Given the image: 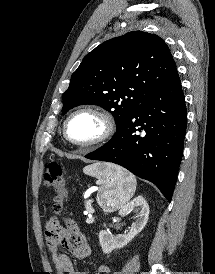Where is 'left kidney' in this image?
<instances>
[{"mask_svg": "<svg viewBox=\"0 0 215 274\" xmlns=\"http://www.w3.org/2000/svg\"><path fill=\"white\" fill-rule=\"evenodd\" d=\"M130 210L137 214L127 234L113 236L105 230L99 233V243L105 254L111 253L114 249L126 246L147 224L149 218V205L142 196H138L130 203L121 207L119 215L125 216Z\"/></svg>", "mask_w": 215, "mask_h": 274, "instance_id": "1", "label": "left kidney"}]
</instances>
